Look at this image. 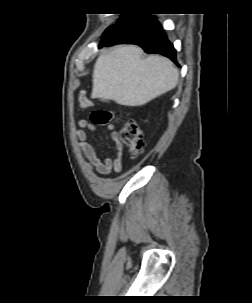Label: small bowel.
<instances>
[{
    "instance_id": "c3829d8e",
    "label": "small bowel",
    "mask_w": 252,
    "mask_h": 303,
    "mask_svg": "<svg viewBox=\"0 0 252 303\" xmlns=\"http://www.w3.org/2000/svg\"><path fill=\"white\" fill-rule=\"evenodd\" d=\"M79 129L75 132V138L79 142L80 152L85 160L86 166L102 175H108L112 171L120 172L122 169V158L124 154L123 145L119 141L118 134L114 124L107 125V129L111 132V140L114 143L115 156L113 158L106 157L100 160L96 150L88 142L85 129L95 130V126L87 120L81 119L78 121Z\"/></svg>"
}]
</instances>
